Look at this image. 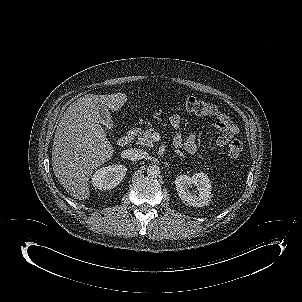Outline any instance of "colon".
<instances>
[{"label": "colon", "instance_id": "5ec220e1", "mask_svg": "<svg viewBox=\"0 0 302 302\" xmlns=\"http://www.w3.org/2000/svg\"><path fill=\"white\" fill-rule=\"evenodd\" d=\"M186 108L198 115L214 116L218 113L216 105L206 103L194 97H189L186 100ZM243 144L241 141L234 139L230 142L229 150L233 157H238L242 152Z\"/></svg>", "mask_w": 302, "mask_h": 302}]
</instances>
